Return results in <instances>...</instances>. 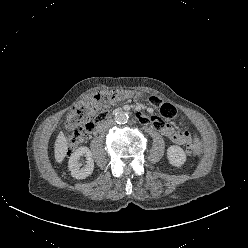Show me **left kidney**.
Wrapping results in <instances>:
<instances>
[{"mask_svg": "<svg viewBox=\"0 0 248 248\" xmlns=\"http://www.w3.org/2000/svg\"><path fill=\"white\" fill-rule=\"evenodd\" d=\"M167 158L171 165L179 167L185 163L186 154L180 146L172 145L167 149Z\"/></svg>", "mask_w": 248, "mask_h": 248, "instance_id": "obj_1", "label": "left kidney"}]
</instances>
